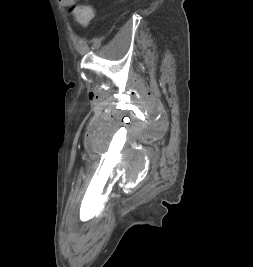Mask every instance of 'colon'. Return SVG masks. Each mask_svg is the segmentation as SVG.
Returning <instances> with one entry per match:
<instances>
[{
  "label": "colon",
  "mask_w": 253,
  "mask_h": 267,
  "mask_svg": "<svg viewBox=\"0 0 253 267\" xmlns=\"http://www.w3.org/2000/svg\"><path fill=\"white\" fill-rule=\"evenodd\" d=\"M71 12L76 24L81 28H87L94 18V10L88 5L74 6L71 8Z\"/></svg>",
  "instance_id": "1"
}]
</instances>
